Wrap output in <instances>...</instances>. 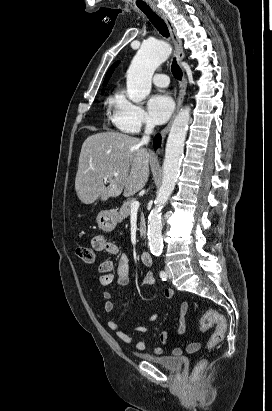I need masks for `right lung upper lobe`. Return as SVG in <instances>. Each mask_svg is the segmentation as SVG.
<instances>
[{
  "label": "right lung upper lobe",
  "mask_w": 272,
  "mask_h": 411,
  "mask_svg": "<svg viewBox=\"0 0 272 411\" xmlns=\"http://www.w3.org/2000/svg\"><path fill=\"white\" fill-rule=\"evenodd\" d=\"M118 64H119V61L116 62V63H114V64L111 66V68L108 70V72L106 73L105 80H104V83H103L104 86L107 84L109 78L111 77L112 72H113L114 69L118 66Z\"/></svg>",
  "instance_id": "obj_1"
}]
</instances>
